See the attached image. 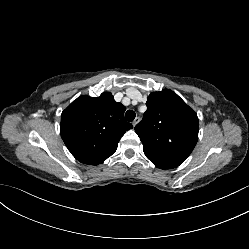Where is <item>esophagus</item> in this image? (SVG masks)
Returning a JSON list of instances; mask_svg holds the SVG:
<instances>
[{
  "label": "esophagus",
  "mask_w": 249,
  "mask_h": 249,
  "mask_svg": "<svg viewBox=\"0 0 249 249\" xmlns=\"http://www.w3.org/2000/svg\"><path fill=\"white\" fill-rule=\"evenodd\" d=\"M139 121H140V118L136 117L135 120L133 121V126L135 127Z\"/></svg>",
  "instance_id": "obj_1"
}]
</instances>
